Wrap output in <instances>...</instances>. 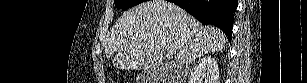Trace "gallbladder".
<instances>
[{
	"mask_svg": "<svg viewBox=\"0 0 307 83\" xmlns=\"http://www.w3.org/2000/svg\"><path fill=\"white\" fill-rule=\"evenodd\" d=\"M160 71L156 68H149L143 70L139 76L138 81L139 83H157L160 82Z\"/></svg>",
	"mask_w": 307,
	"mask_h": 83,
	"instance_id": "gallbladder-1",
	"label": "gallbladder"
}]
</instances>
